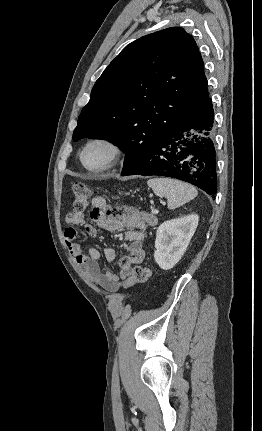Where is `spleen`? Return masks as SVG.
<instances>
[{
  "label": "spleen",
  "mask_w": 262,
  "mask_h": 431,
  "mask_svg": "<svg viewBox=\"0 0 262 431\" xmlns=\"http://www.w3.org/2000/svg\"><path fill=\"white\" fill-rule=\"evenodd\" d=\"M147 184L157 196L167 199L169 209L180 207L198 194L192 185L171 178H151Z\"/></svg>",
  "instance_id": "obj_1"
}]
</instances>
